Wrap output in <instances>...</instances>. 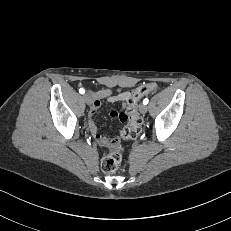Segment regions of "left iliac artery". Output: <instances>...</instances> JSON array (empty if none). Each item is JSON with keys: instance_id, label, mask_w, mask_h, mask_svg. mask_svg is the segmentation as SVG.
<instances>
[{"instance_id": "1", "label": "left iliac artery", "mask_w": 231, "mask_h": 231, "mask_svg": "<svg viewBox=\"0 0 231 231\" xmlns=\"http://www.w3.org/2000/svg\"><path fill=\"white\" fill-rule=\"evenodd\" d=\"M148 102H149V100H148V98H145L144 100H143V104H148Z\"/></svg>"}]
</instances>
